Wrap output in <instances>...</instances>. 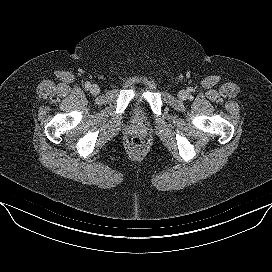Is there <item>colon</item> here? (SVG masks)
<instances>
[{"instance_id":"1","label":"colon","mask_w":272,"mask_h":272,"mask_svg":"<svg viewBox=\"0 0 272 272\" xmlns=\"http://www.w3.org/2000/svg\"><path fill=\"white\" fill-rule=\"evenodd\" d=\"M144 146V142L141 138L139 137H134L131 140V147L135 151H140Z\"/></svg>"}]
</instances>
